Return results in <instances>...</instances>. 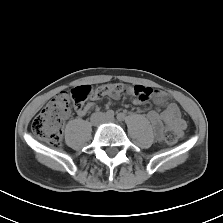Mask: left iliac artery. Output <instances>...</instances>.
Masks as SVG:
<instances>
[{
  "instance_id": "1",
  "label": "left iliac artery",
  "mask_w": 223,
  "mask_h": 223,
  "mask_svg": "<svg viewBox=\"0 0 223 223\" xmlns=\"http://www.w3.org/2000/svg\"><path fill=\"white\" fill-rule=\"evenodd\" d=\"M117 119H118L119 121H123V120L125 119V114H123V113H119V114L117 115Z\"/></svg>"
}]
</instances>
